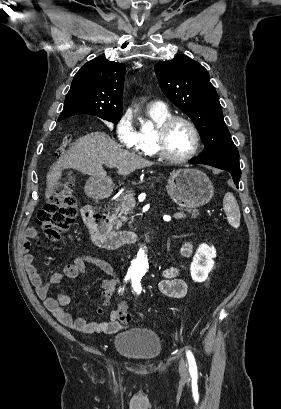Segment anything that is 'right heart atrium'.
<instances>
[{
	"label": "right heart atrium",
	"instance_id": "d8ad5b80",
	"mask_svg": "<svg viewBox=\"0 0 281 409\" xmlns=\"http://www.w3.org/2000/svg\"><path fill=\"white\" fill-rule=\"evenodd\" d=\"M115 131L119 142L125 148L130 149L135 146L136 132L132 126L131 119H119L116 122Z\"/></svg>",
	"mask_w": 281,
	"mask_h": 409
}]
</instances>
